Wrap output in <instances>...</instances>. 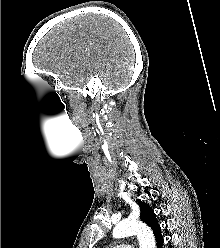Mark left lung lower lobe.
<instances>
[{
    "mask_svg": "<svg viewBox=\"0 0 220 248\" xmlns=\"http://www.w3.org/2000/svg\"><path fill=\"white\" fill-rule=\"evenodd\" d=\"M155 236H156L157 248H162L163 238L161 236V229L157 232Z\"/></svg>",
    "mask_w": 220,
    "mask_h": 248,
    "instance_id": "left-lung-lower-lobe-1",
    "label": "left lung lower lobe"
}]
</instances>
